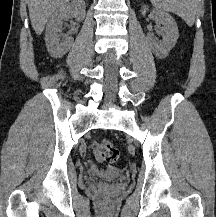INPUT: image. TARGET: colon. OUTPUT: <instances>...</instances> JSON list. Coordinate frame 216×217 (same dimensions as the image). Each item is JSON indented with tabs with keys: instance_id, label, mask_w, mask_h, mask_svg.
I'll return each instance as SVG.
<instances>
[{
	"instance_id": "obj_1",
	"label": "colon",
	"mask_w": 216,
	"mask_h": 217,
	"mask_svg": "<svg viewBox=\"0 0 216 217\" xmlns=\"http://www.w3.org/2000/svg\"><path fill=\"white\" fill-rule=\"evenodd\" d=\"M119 149L116 145L107 139H102L97 142L96 145V156L99 161L112 164L119 159Z\"/></svg>"
}]
</instances>
